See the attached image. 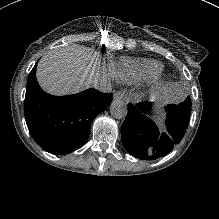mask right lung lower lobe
<instances>
[{
	"mask_svg": "<svg viewBox=\"0 0 219 219\" xmlns=\"http://www.w3.org/2000/svg\"><path fill=\"white\" fill-rule=\"evenodd\" d=\"M112 101V94L94 89L70 96L43 92L36 80V66L29 74L24 113L30 134L46 151L65 154L87 140L93 119Z\"/></svg>",
	"mask_w": 219,
	"mask_h": 219,
	"instance_id": "obj_1",
	"label": "right lung lower lobe"
}]
</instances>
